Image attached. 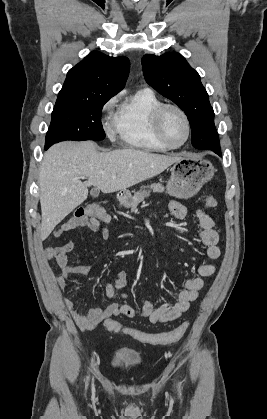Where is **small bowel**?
<instances>
[{"label": "small bowel", "instance_id": "1", "mask_svg": "<svg viewBox=\"0 0 267 419\" xmlns=\"http://www.w3.org/2000/svg\"><path fill=\"white\" fill-rule=\"evenodd\" d=\"M171 214L177 219H185L188 210L185 205L178 201H171L169 204ZM196 216L199 220L201 231L200 240L205 246L206 256L211 260L220 257L221 251L218 247L219 236L214 229V221L203 208H198ZM77 228H87L89 231L99 235L103 240L109 239V231L101 225V222L93 218L73 217L61 225L55 232V237L63 239L65 235ZM73 244L70 241H63L59 245L46 248L43 252L44 260L57 265L59 272L54 275V280L60 290L67 287V279L70 275L78 274L87 276L91 270L87 266L70 265L68 254L72 251ZM216 271L213 263H204L198 266L196 276L185 281L184 288L180 291L175 303H166L156 307L153 301H144L140 312L128 304H120L118 299H126L125 286L127 283L126 271H119L114 280L105 286V293L111 302L105 308L89 309L82 313L72 299L65 298V304L69 309L77 326L82 330H91L105 319L111 316H135L147 318L152 324H161L173 321L185 313L190 303L197 299L199 291L204 287V278L212 276Z\"/></svg>", "mask_w": 267, "mask_h": 419}]
</instances>
